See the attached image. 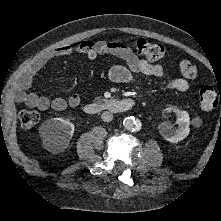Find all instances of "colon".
Instances as JSON below:
<instances>
[{
    "label": "colon",
    "mask_w": 221,
    "mask_h": 221,
    "mask_svg": "<svg viewBox=\"0 0 221 221\" xmlns=\"http://www.w3.org/2000/svg\"><path fill=\"white\" fill-rule=\"evenodd\" d=\"M137 53L150 61H159L164 58V47L159 43L150 42L146 39H138L133 42ZM179 71L186 79H196L199 73L198 66L189 59H184L179 64ZM200 107L204 111L214 109L221 104V96L210 86H204L199 92ZM19 121L23 128L31 129L39 122V114L34 110H24L19 115Z\"/></svg>",
    "instance_id": "5ec220e1"
}]
</instances>
